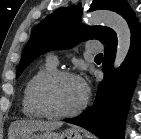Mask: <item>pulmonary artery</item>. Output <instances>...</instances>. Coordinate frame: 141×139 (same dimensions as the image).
<instances>
[{
	"label": "pulmonary artery",
	"mask_w": 141,
	"mask_h": 139,
	"mask_svg": "<svg viewBox=\"0 0 141 139\" xmlns=\"http://www.w3.org/2000/svg\"><path fill=\"white\" fill-rule=\"evenodd\" d=\"M87 51L92 52V53H97L102 50V46L97 43V42H89L86 46ZM48 60L56 65L58 63L57 57L54 55H50Z\"/></svg>",
	"instance_id": "e3ab8cb5"
}]
</instances>
